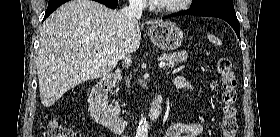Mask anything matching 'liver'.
Segmentation results:
<instances>
[{
    "instance_id": "1",
    "label": "liver",
    "mask_w": 280,
    "mask_h": 137,
    "mask_svg": "<svg viewBox=\"0 0 280 137\" xmlns=\"http://www.w3.org/2000/svg\"><path fill=\"white\" fill-rule=\"evenodd\" d=\"M162 20L147 21L155 25ZM141 30L121 11L92 0L60 6L40 29L37 75L41 103L51 107L77 85L110 74L125 52H135Z\"/></svg>"
}]
</instances>
